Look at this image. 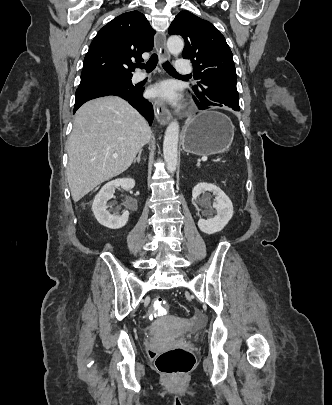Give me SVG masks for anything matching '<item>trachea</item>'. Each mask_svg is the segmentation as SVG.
<instances>
[{"label":"trachea","instance_id":"trachea-1","mask_svg":"<svg viewBox=\"0 0 332 405\" xmlns=\"http://www.w3.org/2000/svg\"><path fill=\"white\" fill-rule=\"evenodd\" d=\"M157 63H158V56H157V54H153L146 64L138 62V63L135 64V66L139 67L141 69H145L146 72L149 73V72H152L155 69ZM163 68L168 73L178 74L176 72V70L173 68V66L168 61L163 63Z\"/></svg>","mask_w":332,"mask_h":405}]
</instances>
